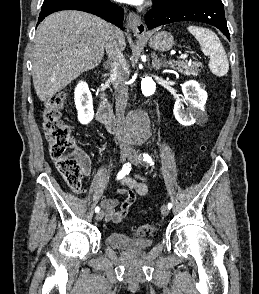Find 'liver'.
<instances>
[{
  "mask_svg": "<svg viewBox=\"0 0 259 294\" xmlns=\"http://www.w3.org/2000/svg\"><path fill=\"white\" fill-rule=\"evenodd\" d=\"M115 27L81 11H60L38 26L32 54V77L38 98L46 102L83 72L97 67ZM122 50L126 43L118 34Z\"/></svg>",
  "mask_w": 259,
  "mask_h": 294,
  "instance_id": "6515ba94",
  "label": "liver"
}]
</instances>
